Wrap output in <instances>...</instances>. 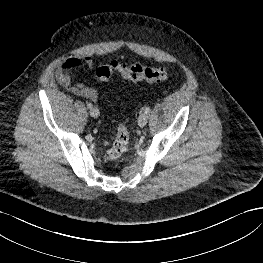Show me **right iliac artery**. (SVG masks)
<instances>
[{
    "instance_id": "obj_1",
    "label": "right iliac artery",
    "mask_w": 263,
    "mask_h": 263,
    "mask_svg": "<svg viewBox=\"0 0 263 263\" xmlns=\"http://www.w3.org/2000/svg\"><path fill=\"white\" fill-rule=\"evenodd\" d=\"M87 108H88V109H92V104L88 103V104H87Z\"/></svg>"
}]
</instances>
